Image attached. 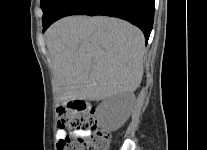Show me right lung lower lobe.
Segmentation results:
<instances>
[{"label": "right lung lower lobe", "instance_id": "obj_1", "mask_svg": "<svg viewBox=\"0 0 207 150\" xmlns=\"http://www.w3.org/2000/svg\"><path fill=\"white\" fill-rule=\"evenodd\" d=\"M68 15H105L127 20L143 31L147 43L153 27L154 0H64L53 17L43 23V32Z\"/></svg>", "mask_w": 207, "mask_h": 150}]
</instances>
